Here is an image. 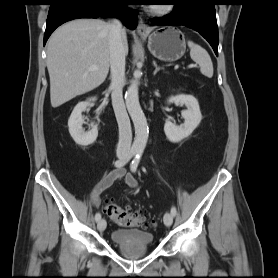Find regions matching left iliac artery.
Returning a JSON list of instances; mask_svg holds the SVG:
<instances>
[{
    "instance_id": "left-iliac-artery-1",
    "label": "left iliac artery",
    "mask_w": 278,
    "mask_h": 278,
    "mask_svg": "<svg viewBox=\"0 0 278 278\" xmlns=\"http://www.w3.org/2000/svg\"><path fill=\"white\" fill-rule=\"evenodd\" d=\"M142 153H143V150H141V149L137 151L136 156L133 159V161L131 163V166H130L132 172H135L137 170V167H138V164L140 162ZM171 214L173 216H176V214H177V210L174 206L171 208Z\"/></svg>"
}]
</instances>
